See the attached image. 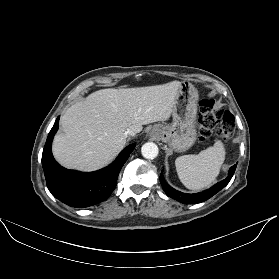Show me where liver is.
Here are the masks:
<instances>
[{
    "instance_id": "obj_1",
    "label": "liver",
    "mask_w": 279,
    "mask_h": 279,
    "mask_svg": "<svg viewBox=\"0 0 279 279\" xmlns=\"http://www.w3.org/2000/svg\"><path fill=\"white\" fill-rule=\"evenodd\" d=\"M181 83L102 89L72 105L62 116V133L52 144L64 167L94 171L108 164L124 148L126 131L170 118Z\"/></svg>"
}]
</instances>
